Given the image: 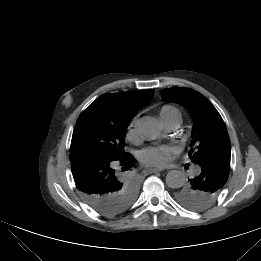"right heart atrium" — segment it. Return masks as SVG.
<instances>
[{"mask_svg":"<svg viewBox=\"0 0 261 261\" xmlns=\"http://www.w3.org/2000/svg\"><path fill=\"white\" fill-rule=\"evenodd\" d=\"M127 138L132 142H136L139 139L137 116L132 118L127 127Z\"/></svg>","mask_w":261,"mask_h":261,"instance_id":"right-heart-atrium-1","label":"right heart atrium"}]
</instances>
